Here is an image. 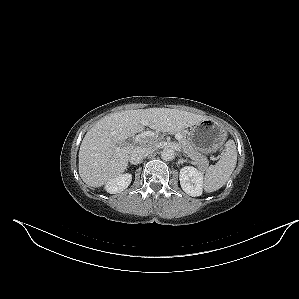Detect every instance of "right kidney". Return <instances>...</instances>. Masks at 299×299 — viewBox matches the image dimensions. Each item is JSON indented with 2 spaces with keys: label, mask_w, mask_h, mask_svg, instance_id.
Masks as SVG:
<instances>
[{
  "label": "right kidney",
  "mask_w": 299,
  "mask_h": 299,
  "mask_svg": "<svg viewBox=\"0 0 299 299\" xmlns=\"http://www.w3.org/2000/svg\"><path fill=\"white\" fill-rule=\"evenodd\" d=\"M132 175L129 173L119 175L105 185V190L110 194L120 193L125 190L131 183Z\"/></svg>",
  "instance_id": "ca27d5eb"
}]
</instances>
